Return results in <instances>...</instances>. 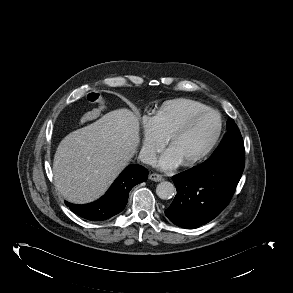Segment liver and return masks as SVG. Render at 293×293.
<instances>
[{
  "mask_svg": "<svg viewBox=\"0 0 293 293\" xmlns=\"http://www.w3.org/2000/svg\"><path fill=\"white\" fill-rule=\"evenodd\" d=\"M138 144V118L125 108L71 132L54 155L56 189L75 204L98 199L128 165Z\"/></svg>",
  "mask_w": 293,
  "mask_h": 293,
  "instance_id": "obj_1",
  "label": "liver"
}]
</instances>
